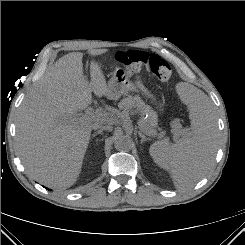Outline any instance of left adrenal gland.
<instances>
[{
	"instance_id": "obj_1",
	"label": "left adrenal gland",
	"mask_w": 245,
	"mask_h": 245,
	"mask_svg": "<svg viewBox=\"0 0 245 245\" xmlns=\"http://www.w3.org/2000/svg\"><path fill=\"white\" fill-rule=\"evenodd\" d=\"M138 135L141 137V143L150 140V138H147L141 131L138 132Z\"/></svg>"
}]
</instances>
